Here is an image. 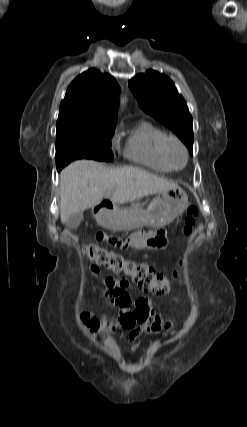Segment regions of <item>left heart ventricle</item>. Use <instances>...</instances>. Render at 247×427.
<instances>
[{
    "label": "left heart ventricle",
    "instance_id": "1",
    "mask_svg": "<svg viewBox=\"0 0 247 427\" xmlns=\"http://www.w3.org/2000/svg\"><path fill=\"white\" fill-rule=\"evenodd\" d=\"M169 157L175 166H181L184 162V153L178 145H170Z\"/></svg>",
    "mask_w": 247,
    "mask_h": 427
}]
</instances>
